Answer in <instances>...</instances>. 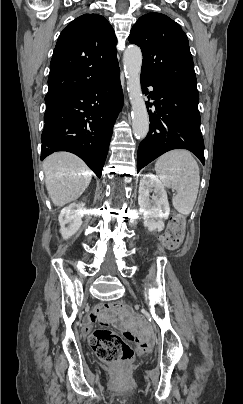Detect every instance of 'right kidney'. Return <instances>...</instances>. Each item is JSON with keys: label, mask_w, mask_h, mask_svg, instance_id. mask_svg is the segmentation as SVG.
Wrapping results in <instances>:
<instances>
[{"label": "right kidney", "mask_w": 243, "mask_h": 404, "mask_svg": "<svg viewBox=\"0 0 243 404\" xmlns=\"http://www.w3.org/2000/svg\"><path fill=\"white\" fill-rule=\"evenodd\" d=\"M83 216L82 204H77V202L61 210L58 220L61 226L60 234H62L64 240H68L70 236H74L78 232L80 226H82Z\"/></svg>", "instance_id": "ca27d5eb"}]
</instances>
